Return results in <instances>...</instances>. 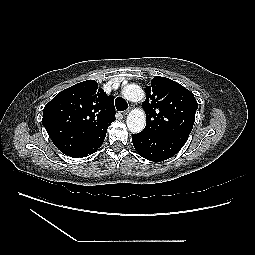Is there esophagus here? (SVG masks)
<instances>
[{
	"label": "esophagus",
	"mask_w": 255,
	"mask_h": 255,
	"mask_svg": "<svg viewBox=\"0 0 255 255\" xmlns=\"http://www.w3.org/2000/svg\"><path fill=\"white\" fill-rule=\"evenodd\" d=\"M131 108H132V106H131L129 109H127V110L123 111V113H122V114H123L124 116H126V115L129 113V111H130V109H131Z\"/></svg>",
	"instance_id": "34e87169"
}]
</instances>
